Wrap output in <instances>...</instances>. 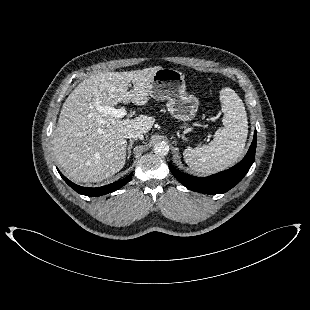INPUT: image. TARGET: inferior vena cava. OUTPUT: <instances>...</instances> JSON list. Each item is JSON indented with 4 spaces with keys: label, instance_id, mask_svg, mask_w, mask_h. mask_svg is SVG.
Instances as JSON below:
<instances>
[{
    "label": "inferior vena cava",
    "instance_id": "1",
    "mask_svg": "<svg viewBox=\"0 0 310 310\" xmlns=\"http://www.w3.org/2000/svg\"><path fill=\"white\" fill-rule=\"evenodd\" d=\"M128 138H134V139H143V133L140 130H131L127 134Z\"/></svg>",
    "mask_w": 310,
    "mask_h": 310
}]
</instances>
